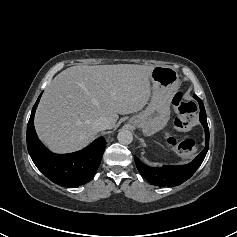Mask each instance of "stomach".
Here are the masks:
<instances>
[{"mask_svg": "<svg viewBox=\"0 0 237 237\" xmlns=\"http://www.w3.org/2000/svg\"><path fill=\"white\" fill-rule=\"evenodd\" d=\"M152 96L141 113L130 118L129 123L142 128L150 136L163 129L170 119V101L179 86L177 71L169 66H156L151 72Z\"/></svg>", "mask_w": 237, "mask_h": 237, "instance_id": "obj_1", "label": "stomach"}]
</instances>
